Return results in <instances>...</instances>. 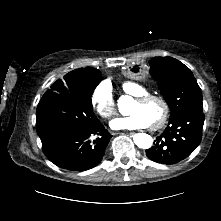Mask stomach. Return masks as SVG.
<instances>
[{"label":"stomach","instance_id":"0dacf381","mask_svg":"<svg viewBox=\"0 0 221 221\" xmlns=\"http://www.w3.org/2000/svg\"><path fill=\"white\" fill-rule=\"evenodd\" d=\"M150 68L143 61L130 62L125 67V75L130 80H143L148 77Z\"/></svg>","mask_w":221,"mask_h":221}]
</instances>
